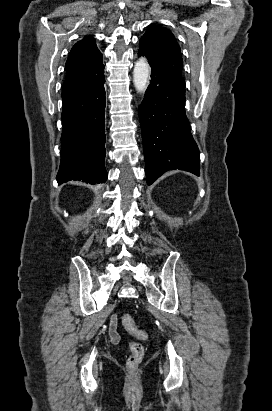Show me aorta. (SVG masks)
<instances>
[{
    "instance_id": "aorta-1",
    "label": "aorta",
    "mask_w": 272,
    "mask_h": 411,
    "mask_svg": "<svg viewBox=\"0 0 272 411\" xmlns=\"http://www.w3.org/2000/svg\"><path fill=\"white\" fill-rule=\"evenodd\" d=\"M150 67L145 58L137 60L133 70L134 86L139 93H144L148 86Z\"/></svg>"
}]
</instances>
